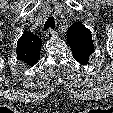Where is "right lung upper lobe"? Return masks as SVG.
<instances>
[{"label":"right lung upper lobe","instance_id":"cb5924a9","mask_svg":"<svg viewBox=\"0 0 113 113\" xmlns=\"http://www.w3.org/2000/svg\"><path fill=\"white\" fill-rule=\"evenodd\" d=\"M42 41L31 32H24L17 43V58L27 65H34L40 56Z\"/></svg>","mask_w":113,"mask_h":113}]
</instances>
